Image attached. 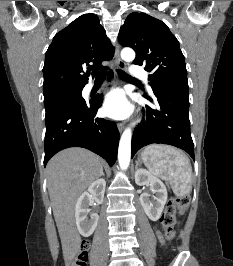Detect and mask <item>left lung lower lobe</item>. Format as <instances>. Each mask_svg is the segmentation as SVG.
I'll list each match as a JSON object with an SVG mask.
<instances>
[{"mask_svg": "<svg viewBox=\"0 0 233 266\" xmlns=\"http://www.w3.org/2000/svg\"><path fill=\"white\" fill-rule=\"evenodd\" d=\"M156 108L146 106L141 124L132 137V157L142 147L160 143L185 150L194 160V144L190 133L189 87L186 81H171L152 88Z\"/></svg>", "mask_w": 233, "mask_h": 266, "instance_id": "left-lung-lower-lobe-1", "label": "left lung lower lobe"}]
</instances>
